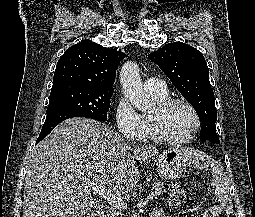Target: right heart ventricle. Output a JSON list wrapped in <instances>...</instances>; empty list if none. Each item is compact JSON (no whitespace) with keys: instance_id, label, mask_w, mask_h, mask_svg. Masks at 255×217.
<instances>
[{"instance_id":"obj_1","label":"right heart ventricle","mask_w":255,"mask_h":217,"mask_svg":"<svg viewBox=\"0 0 255 217\" xmlns=\"http://www.w3.org/2000/svg\"><path fill=\"white\" fill-rule=\"evenodd\" d=\"M158 103L164 101L168 98V92L163 94H157V93H149ZM142 120L144 124V134L143 136L146 138H153L152 132H151V126H150V115L149 114H143Z\"/></svg>"}]
</instances>
